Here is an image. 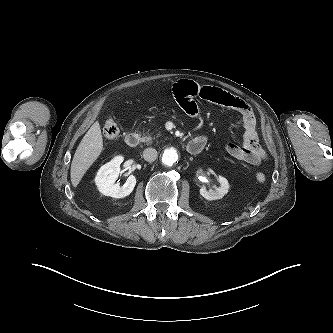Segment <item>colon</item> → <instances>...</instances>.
I'll return each mask as SVG.
<instances>
[{"label":"colon","instance_id":"1","mask_svg":"<svg viewBox=\"0 0 333 333\" xmlns=\"http://www.w3.org/2000/svg\"><path fill=\"white\" fill-rule=\"evenodd\" d=\"M103 133L109 139H113L118 136L119 127H118V123H117L116 119L113 116H109L105 120L104 126H103ZM255 179L257 182L263 183L266 181V176L264 173L258 172L255 175Z\"/></svg>","mask_w":333,"mask_h":333}]
</instances>
